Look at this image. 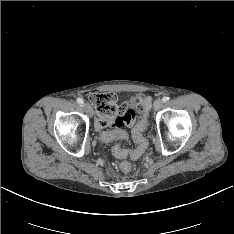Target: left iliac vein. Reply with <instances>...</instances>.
Segmentation results:
<instances>
[{
	"instance_id": "obj_1",
	"label": "left iliac vein",
	"mask_w": 234,
	"mask_h": 234,
	"mask_svg": "<svg viewBox=\"0 0 234 234\" xmlns=\"http://www.w3.org/2000/svg\"><path fill=\"white\" fill-rule=\"evenodd\" d=\"M163 106V101L161 99H156L153 104V108L155 111H158L162 108Z\"/></svg>"
}]
</instances>
